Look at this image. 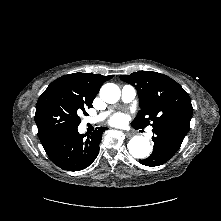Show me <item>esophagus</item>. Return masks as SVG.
Masks as SVG:
<instances>
[{
  "mask_svg": "<svg viewBox=\"0 0 221 221\" xmlns=\"http://www.w3.org/2000/svg\"><path fill=\"white\" fill-rule=\"evenodd\" d=\"M123 133L125 134V136L130 137L132 134L128 131H123Z\"/></svg>",
  "mask_w": 221,
  "mask_h": 221,
  "instance_id": "obj_1",
  "label": "esophagus"
}]
</instances>
